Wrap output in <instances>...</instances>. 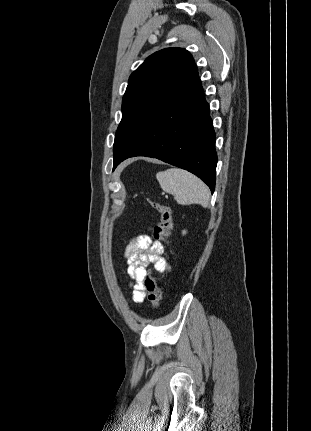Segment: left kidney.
I'll list each match as a JSON object with an SVG mask.
<instances>
[{
    "label": "left kidney",
    "mask_w": 311,
    "mask_h": 431,
    "mask_svg": "<svg viewBox=\"0 0 311 431\" xmlns=\"http://www.w3.org/2000/svg\"><path fill=\"white\" fill-rule=\"evenodd\" d=\"M182 233H186L185 229H183Z\"/></svg>",
    "instance_id": "obj_1"
}]
</instances>
